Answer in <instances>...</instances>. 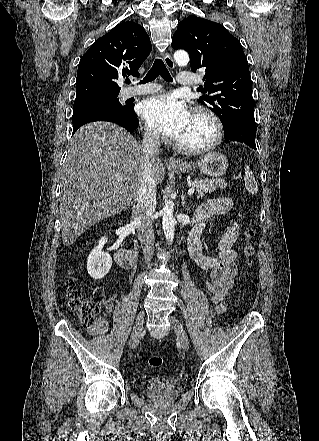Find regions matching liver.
Masks as SVG:
<instances>
[{
	"mask_svg": "<svg viewBox=\"0 0 319 441\" xmlns=\"http://www.w3.org/2000/svg\"><path fill=\"white\" fill-rule=\"evenodd\" d=\"M142 155V146L114 123H89L74 134L60 174L64 246L72 245L92 225L129 207L140 187ZM151 171L155 182L161 183L165 167L160 159L151 161Z\"/></svg>",
	"mask_w": 319,
	"mask_h": 441,
	"instance_id": "6515ba94",
	"label": "liver"
}]
</instances>
